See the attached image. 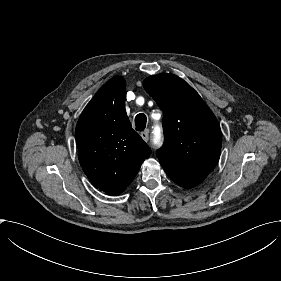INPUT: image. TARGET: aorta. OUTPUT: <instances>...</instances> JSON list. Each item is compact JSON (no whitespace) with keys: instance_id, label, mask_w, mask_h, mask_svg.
<instances>
[{"instance_id":"762f6f07","label":"aorta","mask_w":281,"mask_h":281,"mask_svg":"<svg viewBox=\"0 0 281 281\" xmlns=\"http://www.w3.org/2000/svg\"><path fill=\"white\" fill-rule=\"evenodd\" d=\"M159 134L156 132V136H155V139H154V141L157 143V142H159Z\"/></svg>"}]
</instances>
